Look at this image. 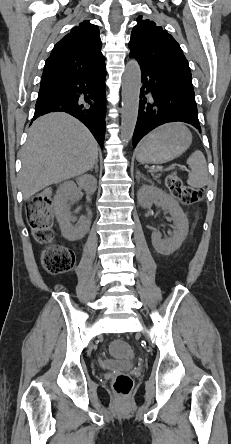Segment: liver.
Here are the masks:
<instances>
[{"instance_id":"1","label":"liver","mask_w":231,"mask_h":444,"mask_svg":"<svg viewBox=\"0 0 231 444\" xmlns=\"http://www.w3.org/2000/svg\"><path fill=\"white\" fill-rule=\"evenodd\" d=\"M98 150L90 131L69 114L54 112L38 118L22 149L18 179L23 198L91 170Z\"/></svg>"}]
</instances>
